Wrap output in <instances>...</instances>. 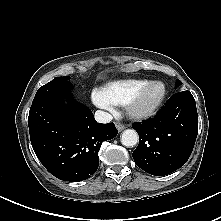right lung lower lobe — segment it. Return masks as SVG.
<instances>
[{"label": "right lung lower lobe", "mask_w": 221, "mask_h": 221, "mask_svg": "<svg viewBox=\"0 0 221 221\" xmlns=\"http://www.w3.org/2000/svg\"><path fill=\"white\" fill-rule=\"evenodd\" d=\"M28 126L43 166L56 178L71 182L96 172L102 142L118 133L113 123H97L91 110L75 102L69 92L32 102Z\"/></svg>", "instance_id": "98d812e1"}]
</instances>
